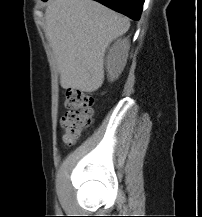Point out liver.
<instances>
[{"mask_svg": "<svg viewBox=\"0 0 202 217\" xmlns=\"http://www.w3.org/2000/svg\"><path fill=\"white\" fill-rule=\"evenodd\" d=\"M130 27L129 19L93 0H49L44 32L54 52L60 85L94 92L104 80L110 43Z\"/></svg>", "mask_w": 202, "mask_h": 217, "instance_id": "6515ba94", "label": "liver"}]
</instances>
